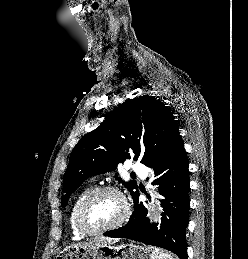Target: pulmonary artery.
I'll list each match as a JSON object with an SVG mask.
<instances>
[{"label":"pulmonary artery","mask_w":248,"mask_h":259,"mask_svg":"<svg viewBox=\"0 0 248 259\" xmlns=\"http://www.w3.org/2000/svg\"><path fill=\"white\" fill-rule=\"evenodd\" d=\"M130 169L139 174H143L145 172V167L138 162L131 164Z\"/></svg>","instance_id":"e3ab8cb5"}]
</instances>
